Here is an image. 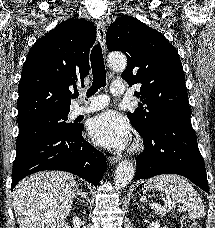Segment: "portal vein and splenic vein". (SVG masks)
Masks as SVG:
<instances>
[{"instance_id": "18ae733b", "label": "portal vein and splenic vein", "mask_w": 215, "mask_h": 228, "mask_svg": "<svg viewBox=\"0 0 215 228\" xmlns=\"http://www.w3.org/2000/svg\"><path fill=\"white\" fill-rule=\"evenodd\" d=\"M151 210H163V212H170V206H160V204H150Z\"/></svg>"}]
</instances>
